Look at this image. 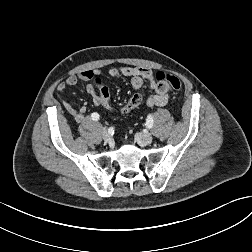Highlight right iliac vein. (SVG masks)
Returning <instances> with one entry per match:
<instances>
[{"instance_id":"1","label":"right iliac vein","mask_w":252,"mask_h":252,"mask_svg":"<svg viewBox=\"0 0 252 252\" xmlns=\"http://www.w3.org/2000/svg\"><path fill=\"white\" fill-rule=\"evenodd\" d=\"M103 139L106 141V142H111L112 141V137L111 135L107 132V130H104L103 131Z\"/></svg>"}]
</instances>
